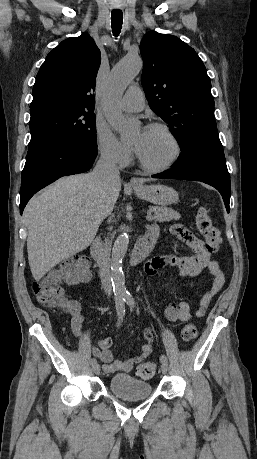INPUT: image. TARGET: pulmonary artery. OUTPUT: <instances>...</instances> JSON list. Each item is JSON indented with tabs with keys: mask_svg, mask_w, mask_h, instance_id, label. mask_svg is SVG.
<instances>
[{
	"mask_svg": "<svg viewBox=\"0 0 257 459\" xmlns=\"http://www.w3.org/2000/svg\"><path fill=\"white\" fill-rule=\"evenodd\" d=\"M120 106L123 110L128 112H139L143 110L145 100L141 88L137 85L130 86L121 99Z\"/></svg>",
	"mask_w": 257,
	"mask_h": 459,
	"instance_id": "1",
	"label": "pulmonary artery"
}]
</instances>
